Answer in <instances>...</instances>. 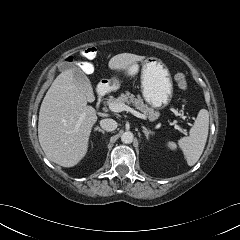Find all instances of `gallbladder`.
I'll use <instances>...</instances> for the list:
<instances>
[{
  "label": "gallbladder",
  "mask_w": 240,
  "mask_h": 240,
  "mask_svg": "<svg viewBox=\"0 0 240 240\" xmlns=\"http://www.w3.org/2000/svg\"><path fill=\"white\" fill-rule=\"evenodd\" d=\"M70 68H74V79H75L76 86L84 92L88 101H93L94 94H93L92 86L88 77L83 73L81 69H79L75 65H64L62 67V69H65V70Z\"/></svg>",
  "instance_id": "gallbladder-1"
}]
</instances>
